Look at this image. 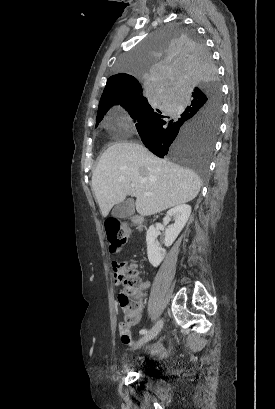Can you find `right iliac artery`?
<instances>
[{"instance_id":"82829eb1","label":"right iliac artery","mask_w":275,"mask_h":409,"mask_svg":"<svg viewBox=\"0 0 275 409\" xmlns=\"http://www.w3.org/2000/svg\"><path fill=\"white\" fill-rule=\"evenodd\" d=\"M140 334H145V333H147V330H140V332H139Z\"/></svg>"}]
</instances>
